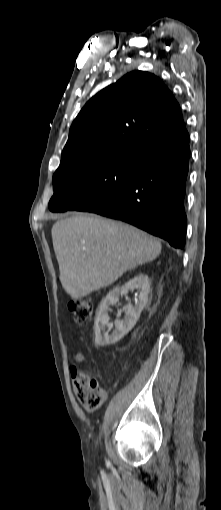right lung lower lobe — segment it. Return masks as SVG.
I'll list each match as a JSON object with an SVG mask.
<instances>
[{
	"mask_svg": "<svg viewBox=\"0 0 221 510\" xmlns=\"http://www.w3.org/2000/svg\"><path fill=\"white\" fill-rule=\"evenodd\" d=\"M189 158L188 132L156 144L125 188L109 200L80 211L125 221L182 249Z\"/></svg>",
	"mask_w": 221,
	"mask_h": 510,
	"instance_id": "right-lung-lower-lobe-1",
	"label": "right lung lower lobe"
}]
</instances>
